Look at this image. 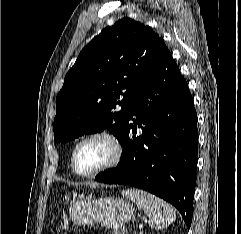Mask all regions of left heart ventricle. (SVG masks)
<instances>
[{
	"label": "left heart ventricle",
	"mask_w": 241,
	"mask_h": 234,
	"mask_svg": "<svg viewBox=\"0 0 241 234\" xmlns=\"http://www.w3.org/2000/svg\"><path fill=\"white\" fill-rule=\"evenodd\" d=\"M111 156L112 148L106 140L92 139L77 150L76 167L80 172H91L108 162Z\"/></svg>",
	"instance_id": "left-heart-ventricle-1"
}]
</instances>
